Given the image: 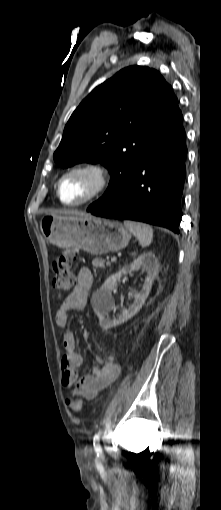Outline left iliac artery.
<instances>
[{
  "instance_id": "1",
  "label": "left iliac artery",
  "mask_w": 221,
  "mask_h": 510,
  "mask_svg": "<svg viewBox=\"0 0 221 510\" xmlns=\"http://www.w3.org/2000/svg\"><path fill=\"white\" fill-rule=\"evenodd\" d=\"M99 439H100L99 434H95V436L93 438V444H94V448H95L96 452H101V446L99 444Z\"/></svg>"
}]
</instances>
